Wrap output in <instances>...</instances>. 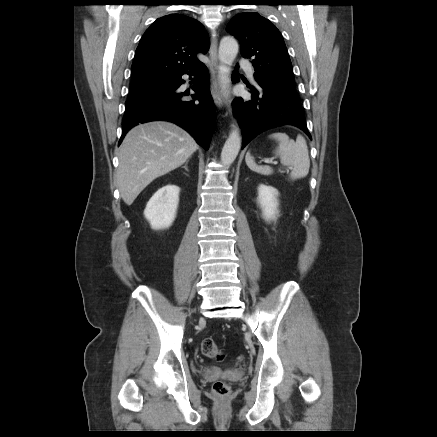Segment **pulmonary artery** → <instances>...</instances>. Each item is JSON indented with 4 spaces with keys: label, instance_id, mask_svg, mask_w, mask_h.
Masks as SVG:
<instances>
[{
    "label": "pulmonary artery",
    "instance_id": "e3ab8cb5",
    "mask_svg": "<svg viewBox=\"0 0 437 437\" xmlns=\"http://www.w3.org/2000/svg\"><path fill=\"white\" fill-rule=\"evenodd\" d=\"M239 65L246 70L249 77L251 78L253 77V73H254L253 67L247 60L241 59L239 61Z\"/></svg>",
    "mask_w": 437,
    "mask_h": 437
}]
</instances>
